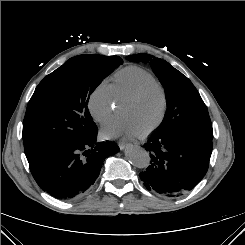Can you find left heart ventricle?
<instances>
[{"instance_id":"b2bd125f","label":"left heart ventricle","mask_w":245,"mask_h":245,"mask_svg":"<svg viewBox=\"0 0 245 245\" xmlns=\"http://www.w3.org/2000/svg\"><path fill=\"white\" fill-rule=\"evenodd\" d=\"M162 108V96L155 87H150L136 100L121 105L120 112L140 133L158 119Z\"/></svg>"}]
</instances>
